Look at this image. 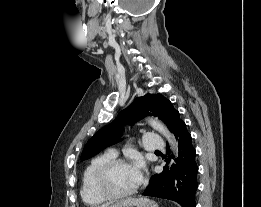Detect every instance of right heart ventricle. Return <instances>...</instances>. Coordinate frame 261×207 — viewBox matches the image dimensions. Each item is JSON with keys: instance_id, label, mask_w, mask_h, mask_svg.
Instances as JSON below:
<instances>
[{"instance_id": "1", "label": "right heart ventricle", "mask_w": 261, "mask_h": 207, "mask_svg": "<svg viewBox=\"0 0 261 207\" xmlns=\"http://www.w3.org/2000/svg\"><path fill=\"white\" fill-rule=\"evenodd\" d=\"M115 156L105 153L93 158L84 169L81 181L80 194L85 204L89 206H97L105 202L103 197L97 190L95 178L98 170L108 161L114 159Z\"/></svg>"}]
</instances>
